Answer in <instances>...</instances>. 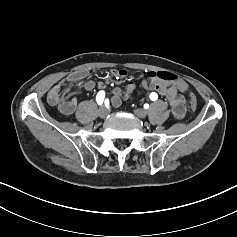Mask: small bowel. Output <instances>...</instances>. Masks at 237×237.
Instances as JSON below:
<instances>
[{
	"instance_id": "small-bowel-1",
	"label": "small bowel",
	"mask_w": 237,
	"mask_h": 237,
	"mask_svg": "<svg viewBox=\"0 0 237 237\" xmlns=\"http://www.w3.org/2000/svg\"><path fill=\"white\" fill-rule=\"evenodd\" d=\"M155 73V71L148 72L147 80L142 82V86L151 92L155 91L164 96L171 107L174 117L176 119H182L186 113V100L183 96V92H185L188 87L187 83L184 80H180L179 82L159 80L153 77V74ZM111 75L116 79L125 78L127 72L123 69L112 70ZM87 76V69H78L54 83L47 92L48 103L51 106L57 107L63 115L74 114L79 107L78 99H64L61 96L62 87L67 83L84 80ZM83 86L87 91H92L96 87L99 89H104L106 83L104 81H95L89 79L84 82ZM123 95V91L120 88H114L111 97L112 104L114 106H119L122 102Z\"/></svg>"
}]
</instances>
